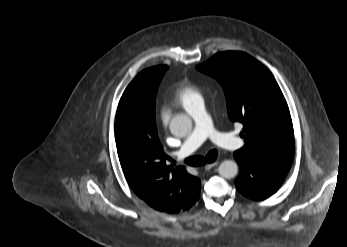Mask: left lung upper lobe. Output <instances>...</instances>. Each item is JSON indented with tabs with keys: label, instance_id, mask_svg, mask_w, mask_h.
<instances>
[{
	"label": "left lung upper lobe",
	"instance_id": "obj_1",
	"mask_svg": "<svg viewBox=\"0 0 347 247\" xmlns=\"http://www.w3.org/2000/svg\"><path fill=\"white\" fill-rule=\"evenodd\" d=\"M197 69L222 85L229 118L243 124L251 159L292 163L294 131L286 100L271 72L244 52L217 53Z\"/></svg>",
	"mask_w": 347,
	"mask_h": 247
}]
</instances>
